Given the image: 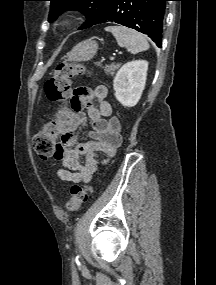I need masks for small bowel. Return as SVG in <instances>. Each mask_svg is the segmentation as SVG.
Instances as JSON below:
<instances>
[{
    "label": "small bowel",
    "mask_w": 216,
    "mask_h": 285,
    "mask_svg": "<svg viewBox=\"0 0 216 285\" xmlns=\"http://www.w3.org/2000/svg\"><path fill=\"white\" fill-rule=\"evenodd\" d=\"M108 89L98 86L94 90L79 87L74 91L70 110L65 123L58 129L60 143L54 158L62 162L58 177L67 182L88 183L97 170L96 154L102 153L107 159L115 155L122 138L120 124L112 116V106L107 101ZM86 108L87 113L84 112ZM90 122V139L76 141V130ZM81 157L84 162H81ZM107 160H105L106 162Z\"/></svg>",
    "instance_id": "1"
}]
</instances>
